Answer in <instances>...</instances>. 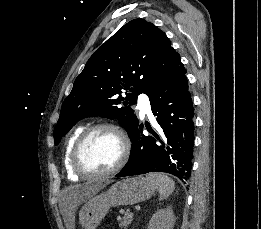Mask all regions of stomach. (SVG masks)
Masks as SVG:
<instances>
[{
  "label": "stomach",
  "instance_id": "0dacf381",
  "mask_svg": "<svg viewBox=\"0 0 261 229\" xmlns=\"http://www.w3.org/2000/svg\"><path fill=\"white\" fill-rule=\"evenodd\" d=\"M155 189L156 185L153 181H149L145 177H133V179H123V181L115 183L108 191L97 197L94 195L89 197L79 213L82 229H96L110 207L142 203L154 195Z\"/></svg>",
  "mask_w": 261,
  "mask_h": 229
}]
</instances>
